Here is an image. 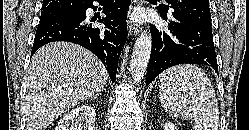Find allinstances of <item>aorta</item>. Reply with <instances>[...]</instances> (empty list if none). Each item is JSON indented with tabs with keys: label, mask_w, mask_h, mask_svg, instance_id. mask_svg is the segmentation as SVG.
Listing matches in <instances>:
<instances>
[{
	"label": "aorta",
	"mask_w": 249,
	"mask_h": 130,
	"mask_svg": "<svg viewBox=\"0 0 249 130\" xmlns=\"http://www.w3.org/2000/svg\"><path fill=\"white\" fill-rule=\"evenodd\" d=\"M151 48V35L143 31L135 42L130 63L131 76L136 84H141L150 59Z\"/></svg>",
	"instance_id": "1"
}]
</instances>
